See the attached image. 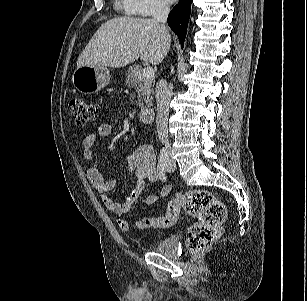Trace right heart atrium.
<instances>
[{
	"label": "right heart atrium",
	"instance_id": "1",
	"mask_svg": "<svg viewBox=\"0 0 307 301\" xmlns=\"http://www.w3.org/2000/svg\"><path fill=\"white\" fill-rule=\"evenodd\" d=\"M167 0H127V7L140 16H154L166 12L169 8Z\"/></svg>",
	"mask_w": 307,
	"mask_h": 301
}]
</instances>
